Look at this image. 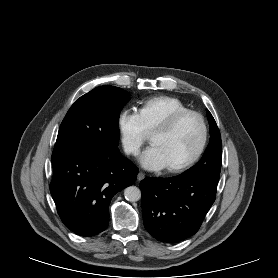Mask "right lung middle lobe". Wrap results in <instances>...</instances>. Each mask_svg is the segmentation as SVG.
Here are the masks:
<instances>
[{
  "mask_svg": "<svg viewBox=\"0 0 278 278\" xmlns=\"http://www.w3.org/2000/svg\"><path fill=\"white\" fill-rule=\"evenodd\" d=\"M130 94L114 86H100L80 97L59 128L53 155L96 145L117 146L119 115Z\"/></svg>",
  "mask_w": 278,
  "mask_h": 278,
  "instance_id": "obj_1",
  "label": "right lung middle lobe"
}]
</instances>
